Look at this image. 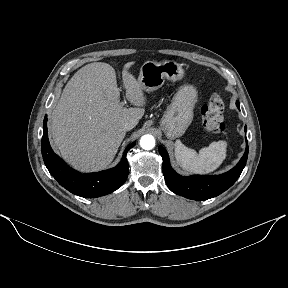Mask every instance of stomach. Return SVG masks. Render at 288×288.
<instances>
[{"label":"stomach","mask_w":288,"mask_h":288,"mask_svg":"<svg viewBox=\"0 0 288 288\" xmlns=\"http://www.w3.org/2000/svg\"><path fill=\"white\" fill-rule=\"evenodd\" d=\"M183 77L184 70L175 61H146L140 68L138 82L142 90L152 92L162 87L166 79L176 82ZM197 99V90L193 85L185 84L178 88L160 121L161 129L168 138H178L185 133L192 123Z\"/></svg>","instance_id":"stomach-1"}]
</instances>
